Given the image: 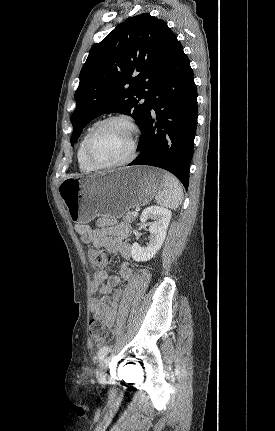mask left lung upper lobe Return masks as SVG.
Returning a JSON list of instances; mask_svg holds the SVG:
<instances>
[{
	"label": "left lung upper lobe",
	"mask_w": 275,
	"mask_h": 431,
	"mask_svg": "<svg viewBox=\"0 0 275 431\" xmlns=\"http://www.w3.org/2000/svg\"><path fill=\"white\" fill-rule=\"evenodd\" d=\"M179 46L167 24L149 13L127 19L93 45L75 92L71 145L90 121L105 113L130 115L140 128L155 87Z\"/></svg>",
	"instance_id": "obj_1"
}]
</instances>
